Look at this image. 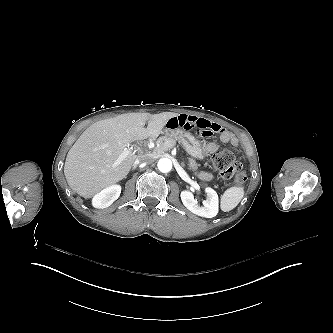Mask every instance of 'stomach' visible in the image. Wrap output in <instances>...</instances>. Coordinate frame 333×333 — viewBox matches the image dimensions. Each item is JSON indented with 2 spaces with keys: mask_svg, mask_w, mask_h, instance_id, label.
Instances as JSON below:
<instances>
[{
  "mask_svg": "<svg viewBox=\"0 0 333 333\" xmlns=\"http://www.w3.org/2000/svg\"><path fill=\"white\" fill-rule=\"evenodd\" d=\"M162 133L166 136H176L178 140H181L187 152L195 158L203 159L207 155V152L202 143L194 136H192L188 131L182 133L179 132V129L177 128H169L167 126L163 129Z\"/></svg>",
  "mask_w": 333,
  "mask_h": 333,
  "instance_id": "0dacf381",
  "label": "stomach"
}]
</instances>
